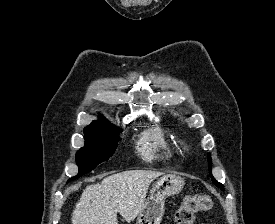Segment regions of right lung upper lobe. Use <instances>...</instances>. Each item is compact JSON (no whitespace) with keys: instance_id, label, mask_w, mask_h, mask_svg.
<instances>
[{"instance_id":"cb5924a9","label":"right lung upper lobe","mask_w":275,"mask_h":224,"mask_svg":"<svg viewBox=\"0 0 275 224\" xmlns=\"http://www.w3.org/2000/svg\"><path fill=\"white\" fill-rule=\"evenodd\" d=\"M108 127H114L112 124H110L108 121H106L104 118H101L98 121H93L88 127L85 129H92V128H108Z\"/></svg>"}]
</instances>
